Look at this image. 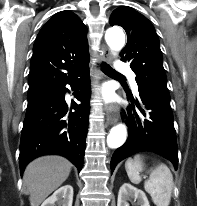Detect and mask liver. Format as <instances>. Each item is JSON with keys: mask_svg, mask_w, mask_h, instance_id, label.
Returning <instances> with one entry per match:
<instances>
[{"mask_svg": "<svg viewBox=\"0 0 197 206\" xmlns=\"http://www.w3.org/2000/svg\"><path fill=\"white\" fill-rule=\"evenodd\" d=\"M72 164L60 156H43L29 163L23 183L31 206H39L68 178Z\"/></svg>", "mask_w": 197, "mask_h": 206, "instance_id": "1", "label": "liver"}]
</instances>
